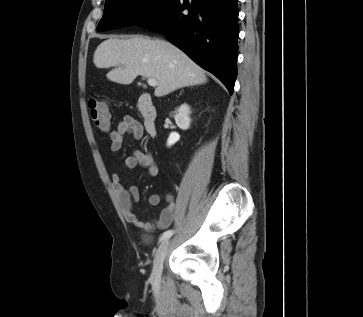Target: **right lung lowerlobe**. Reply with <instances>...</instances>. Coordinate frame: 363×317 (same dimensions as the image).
Listing matches in <instances>:
<instances>
[{"label":"right lung lower lobe","instance_id":"1","mask_svg":"<svg viewBox=\"0 0 363 317\" xmlns=\"http://www.w3.org/2000/svg\"><path fill=\"white\" fill-rule=\"evenodd\" d=\"M237 1L192 0L189 5L176 0L162 15L139 26L165 34L232 94L237 77Z\"/></svg>","mask_w":363,"mask_h":317}]
</instances>
